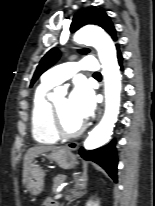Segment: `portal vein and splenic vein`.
Masks as SVG:
<instances>
[{
    "label": "portal vein and splenic vein",
    "instance_id": "obj_1",
    "mask_svg": "<svg viewBox=\"0 0 155 206\" xmlns=\"http://www.w3.org/2000/svg\"><path fill=\"white\" fill-rule=\"evenodd\" d=\"M62 197V193H57L56 195H55V199H59V198H61Z\"/></svg>",
    "mask_w": 155,
    "mask_h": 206
}]
</instances>
